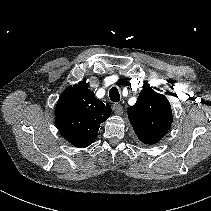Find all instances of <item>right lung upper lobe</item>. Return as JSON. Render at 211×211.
Returning <instances> with one entry per match:
<instances>
[{"mask_svg":"<svg viewBox=\"0 0 211 211\" xmlns=\"http://www.w3.org/2000/svg\"><path fill=\"white\" fill-rule=\"evenodd\" d=\"M58 101L67 105L69 124L57 127L63 137L78 148L89 146L95 140L100 124L111 115L110 105L97 99L85 82L67 87Z\"/></svg>","mask_w":211,"mask_h":211,"instance_id":"cb5924a9","label":"right lung upper lobe"}]
</instances>
